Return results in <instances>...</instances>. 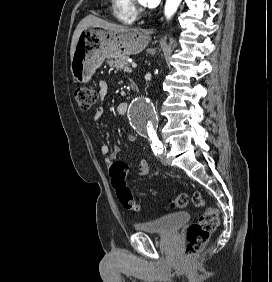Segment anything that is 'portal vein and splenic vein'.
<instances>
[{"label": "portal vein and splenic vein", "instance_id": "18ae733b", "mask_svg": "<svg viewBox=\"0 0 272 282\" xmlns=\"http://www.w3.org/2000/svg\"><path fill=\"white\" fill-rule=\"evenodd\" d=\"M132 68H136L137 67V64L136 63H132Z\"/></svg>", "mask_w": 272, "mask_h": 282}]
</instances>
